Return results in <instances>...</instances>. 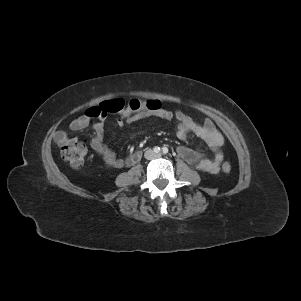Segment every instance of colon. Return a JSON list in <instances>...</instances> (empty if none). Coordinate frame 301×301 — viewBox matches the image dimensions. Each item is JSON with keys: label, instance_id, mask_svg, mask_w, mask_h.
I'll return each mask as SVG.
<instances>
[{"label": "colon", "instance_id": "1", "mask_svg": "<svg viewBox=\"0 0 301 301\" xmlns=\"http://www.w3.org/2000/svg\"><path fill=\"white\" fill-rule=\"evenodd\" d=\"M161 108V103L156 100H139V99H112L101 103L98 106L89 108L86 113L92 118L105 116L107 113H120L123 110L131 111H157ZM61 154L65 160L74 166L83 164L87 154V143L84 140H76L62 146ZM223 173L231 171V165L227 162L221 166Z\"/></svg>", "mask_w": 301, "mask_h": 301}]
</instances>
